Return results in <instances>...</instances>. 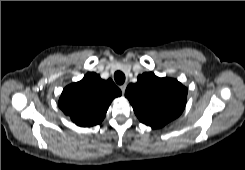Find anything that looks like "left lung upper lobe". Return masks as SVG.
<instances>
[{"instance_id":"left-lung-upper-lobe-1","label":"left lung upper lobe","mask_w":245,"mask_h":170,"mask_svg":"<svg viewBox=\"0 0 245 170\" xmlns=\"http://www.w3.org/2000/svg\"><path fill=\"white\" fill-rule=\"evenodd\" d=\"M125 97L142 123L161 128L183 112L187 88L175 79L159 78L147 72L128 85Z\"/></svg>"}]
</instances>
